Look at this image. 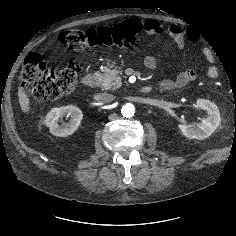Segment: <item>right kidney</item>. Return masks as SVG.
<instances>
[{"label": "right kidney", "mask_w": 236, "mask_h": 236, "mask_svg": "<svg viewBox=\"0 0 236 236\" xmlns=\"http://www.w3.org/2000/svg\"><path fill=\"white\" fill-rule=\"evenodd\" d=\"M70 117L68 124L62 122L63 117ZM83 118L82 111L75 106L53 108L45 118L44 123L50 128L51 134L66 137L75 132ZM61 123V124H60Z\"/></svg>", "instance_id": "right-kidney-1"}]
</instances>
